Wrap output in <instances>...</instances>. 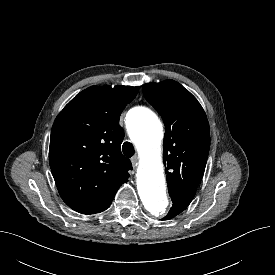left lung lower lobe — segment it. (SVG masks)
<instances>
[{
    "instance_id": "obj_1",
    "label": "left lung lower lobe",
    "mask_w": 275,
    "mask_h": 275,
    "mask_svg": "<svg viewBox=\"0 0 275 275\" xmlns=\"http://www.w3.org/2000/svg\"><path fill=\"white\" fill-rule=\"evenodd\" d=\"M169 195L171 196L173 205L167 216L164 218L165 220L171 219L181 213L188 207L194 197L191 193H170Z\"/></svg>"
}]
</instances>
